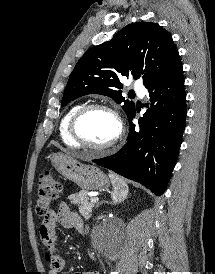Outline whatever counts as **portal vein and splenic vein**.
<instances>
[{"mask_svg": "<svg viewBox=\"0 0 215 274\" xmlns=\"http://www.w3.org/2000/svg\"><path fill=\"white\" fill-rule=\"evenodd\" d=\"M99 201L98 197H91V202L92 203H97Z\"/></svg>", "mask_w": 215, "mask_h": 274, "instance_id": "portal-vein-and-splenic-vein-1", "label": "portal vein and splenic vein"}]
</instances>
